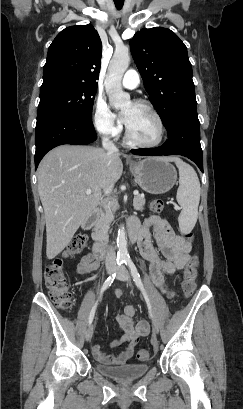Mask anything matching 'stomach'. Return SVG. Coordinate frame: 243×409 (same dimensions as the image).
Listing matches in <instances>:
<instances>
[{
  "label": "stomach",
  "mask_w": 243,
  "mask_h": 409,
  "mask_svg": "<svg viewBox=\"0 0 243 409\" xmlns=\"http://www.w3.org/2000/svg\"><path fill=\"white\" fill-rule=\"evenodd\" d=\"M137 184L147 193L164 194L176 183L177 172L169 159L147 157L129 164Z\"/></svg>",
  "instance_id": "stomach-1"
}]
</instances>
